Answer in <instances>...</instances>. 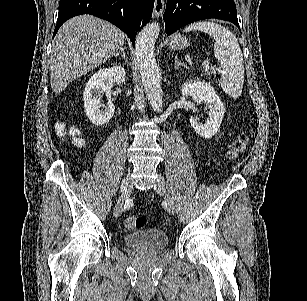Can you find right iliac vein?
<instances>
[{"label": "right iliac vein", "instance_id": "obj_1", "mask_svg": "<svg viewBox=\"0 0 307 301\" xmlns=\"http://www.w3.org/2000/svg\"><path fill=\"white\" fill-rule=\"evenodd\" d=\"M129 190H130V177L128 176L124 178L121 183V190H120L121 195L116 202L115 210H114L116 217L121 215L123 212L124 202L126 198L128 197Z\"/></svg>", "mask_w": 307, "mask_h": 301}]
</instances>
